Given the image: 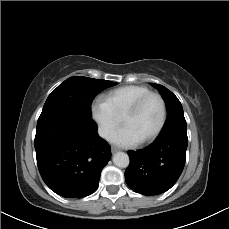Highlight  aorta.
<instances>
[{"instance_id":"1","label":"aorta","mask_w":229,"mask_h":229,"mask_svg":"<svg viewBox=\"0 0 229 229\" xmlns=\"http://www.w3.org/2000/svg\"><path fill=\"white\" fill-rule=\"evenodd\" d=\"M113 163L120 168H126L129 165V157L124 152H117L113 156Z\"/></svg>"}]
</instances>
